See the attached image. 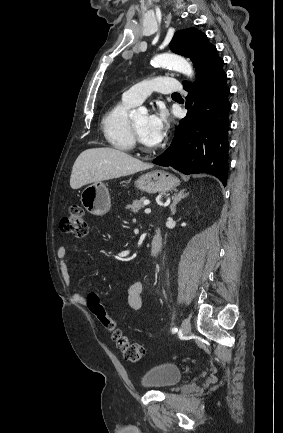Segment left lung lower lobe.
I'll return each mask as SVG.
<instances>
[{
	"mask_svg": "<svg viewBox=\"0 0 283 433\" xmlns=\"http://www.w3.org/2000/svg\"><path fill=\"white\" fill-rule=\"evenodd\" d=\"M222 66L223 60L213 45L195 61V83L183 82L189 92L185 105L188 113L180 120L169 148L153 163L171 166L184 174L208 173L226 186L231 105ZM197 124H200L198 135Z\"/></svg>",
	"mask_w": 283,
	"mask_h": 433,
	"instance_id": "obj_1",
	"label": "left lung lower lobe"
}]
</instances>
